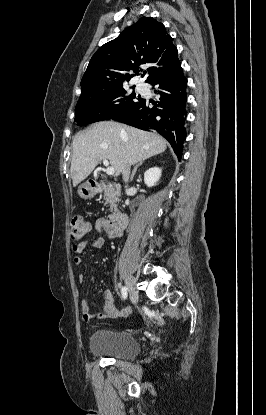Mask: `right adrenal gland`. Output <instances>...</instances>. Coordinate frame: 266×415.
Returning a JSON list of instances; mask_svg holds the SVG:
<instances>
[{"label": "right adrenal gland", "mask_w": 266, "mask_h": 415, "mask_svg": "<svg viewBox=\"0 0 266 415\" xmlns=\"http://www.w3.org/2000/svg\"><path fill=\"white\" fill-rule=\"evenodd\" d=\"M145 161H141V162H139L135 167H134V170H133V172H132V175H131V178H130V180L132 181L133 180V178H134V176H135V174H136V171H137V169H138V167H140L143 163H144Z\"/></svg>", "instance_id": "2a0ac1e0"}]
</instances>
